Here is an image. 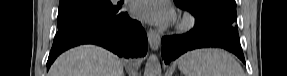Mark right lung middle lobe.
Segmentation results:
<instances>
[{
  "mask_svg": "<svg viewBox=\"0 0 287 76\" xmlns=\"http://www.w3.org/2000/svg\"><path fill=\"white\" fill-rule=\"evenodd\" d=\"M110 0H60L58 29L62 30L80 21L98 19L116 12Z\"/></svg>",
  "mask_w": 287,
  "mask_h": 76,
  "instance_id": "1",
  "label": "right lung middle lobe"
}]
</instances>
